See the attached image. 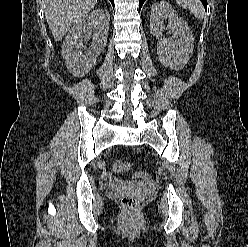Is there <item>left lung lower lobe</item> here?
Returning <instances> with one entry per match:
<instances>
[{
    "instance_id": "obj_1",
    "label": "left lung lower lobe",
    "mask_w": 248,
    "mask_h": 247,
    "mask_svg": "<svg viewBox=\"0 0 248 247\" xmlns=\"http://www.w3.org/2000/svg\"><path fill=\"white\" fill-rule=\"evenodd\" d=\"M145 0H139V9H141L143 3ZM203 4V6L205 7V9L207 8V0H200Z\"/></svg>"
}]
</instances>
